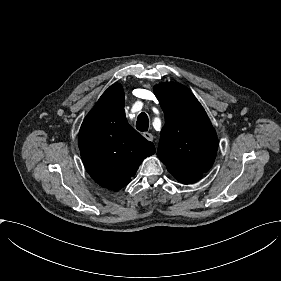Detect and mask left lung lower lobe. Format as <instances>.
I'll use <instances>...</instances> for the list:
<instances>
[{"instance_id":"0a47b994","label":"left lung lower lobe","mask_w":281,"mask_h":281,"mask_svg":"<svg viewBox=\"0 0 281 281\" xmlns=\"http://www.w3.org/2000/svg\"><path fill=\"white\" fill-rule=\"evenodd\" d=\"M179 182L183 184H189L197 181L201 175H195V176H190V175H183V174H178V173H171Z\"/></svg>"}]
</instances>
